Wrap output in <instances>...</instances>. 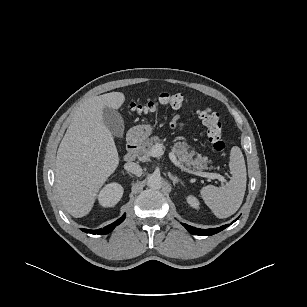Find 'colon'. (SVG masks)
Here are the masks:
<instances>
[{
	"label": "colon",
	"instance_id": "5ec220e1",
	"mask_svg": "<svg viewBox=\"0 0 307 307\" xmlns=\"http://www.w3.org/2000/svg\"><path fill=\"white\" fill-rule=\"evenodd\" d=\"M188 99L182 94L162 93L156 99L144 104L129 102L130 110L139 114H149L160 107L169 106L174 109H180L188 104ZM196 114L202 120L207 129V136L213 148L221 155L226 154V142L223 138L222 125L219 115L209 107H203L196 110Z\"/></svg>",
	"mask_w": 307,
	"mask_h": 307
}]
</instances>
